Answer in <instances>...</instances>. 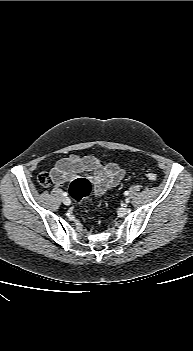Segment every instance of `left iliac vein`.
<instances>
[{
  "mask_svg": "<svg viewBox=\"0 0 193 351\" xmlns=\"http://www.w3.org/2000/svg\"><path fill=\"white\" fill-rule=\"evenodd\" d=\"M125 202H126V203H129V202H130V199H129V198H126Z\"/></svg>",
  "mask_w": 193,
  "mask_h": 351,
  "instance_id": "4c4485c4",
  "label": "left iliac vein"
}]
</instances>
